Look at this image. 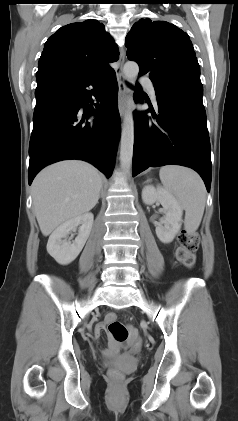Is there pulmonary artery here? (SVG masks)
<instances>
[{"mask_svg":"<svg viewBox=\"0 0 238 421\" xmlns=\"http://www.w3.org/2000/svg\"><path fill=\"white\" fill-rule=\"evenodd\" d=\"M140 82L144 85L148 93L150 94L151 98L156 101V94H155V88L152 83V81L149 78L142 77L140 79Z\"/></svg>","mask_w":238,"mask_h":421,"instance_id":"pulmonary-artery-1","label":"pulmonary artery"}]
</instances>
